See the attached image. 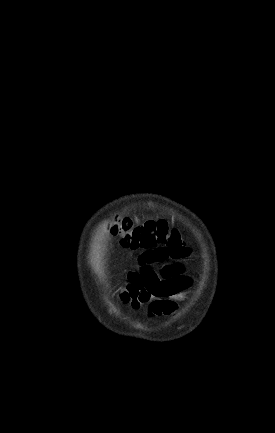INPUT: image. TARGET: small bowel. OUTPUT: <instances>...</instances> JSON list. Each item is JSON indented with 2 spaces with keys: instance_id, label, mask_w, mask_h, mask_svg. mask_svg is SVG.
I'll list each match as a JSON object with an SVG mask.
<instances>
[{
  "instance_id": "small-bowel-1",
  "label": "small bowel",
  "mask_w": 275,
  "mask_h": 433,
  "mask_svg": "<svg viewBox=\"0 0 275 433\" xmlns=\"http://www.w3.org/2000/svg\"><path fill=\"white\" fill-rule=\"evenodd\" d=\"M166 258L165 248L139 255L137 268L128 272L127 283L121 289L122 303L134 309L146 306L151 316L171 317L176 313L177 302L193 285V280L185 275L183 264L164 263ZM155 263H162L157 270L153 267Z\"/></svg>"
}]
</instances>
